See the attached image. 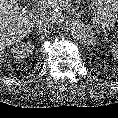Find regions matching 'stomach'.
Masks as SVG:
<instances>
[{
	"instance_id": "0dacf381",
	"label": "stomach",
	"mask_w": 118,
	"mask_h": 118,
	"mask_svg": "<svg viewBox=\"0 0 118 118\" xmlns=\"http://www.w3.org/2000/svg\"><path fill=\"white\" fill-rule=\"evenodd\" d=\"M93 1V25L104 33L112 31L118 22V0Z\"/></svg>"
}]
</instances>
